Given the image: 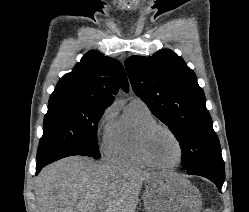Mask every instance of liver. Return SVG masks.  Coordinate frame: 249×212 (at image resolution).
Listing matches in <instances>:
<instances>
[{
  "label": "liver",
  "instance_id": "liver-1",
  "mask_svg": "<svg viewBox=\"0 0 249 212\" xmlns=\"http://www.w3.org/2000/svg\"><path fill=\"white\" fill-rule=\"evenodd\" d=\"M172 176L71 156L37 176L34 212H135L143 182L165 186Z\"/></svg>",
  "mask_w": 249,
  "mask_h": 212
}]
</instances>
